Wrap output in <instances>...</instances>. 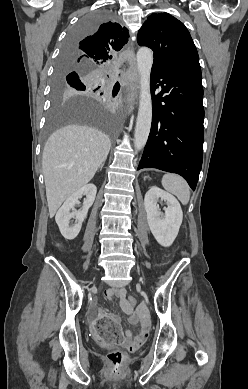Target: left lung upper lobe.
Segmentation results:
<instances>
[{"mask_svg": "<svg viewBox=\"0 0 248 389\" xmlns=\"http://www.w3.org/2000/svg\"><path fill=\"white\" fill-rule=\"evenodd\" d=\"M138 44L153 50V66H200L197 49L187 28L168 13H154L147 18L138 32Z\"/></svg>", "mask_w": 248, "mask_h": 389, "instance_id": "obj_1", "label": "left lung upper lobe"}]
</instances>
